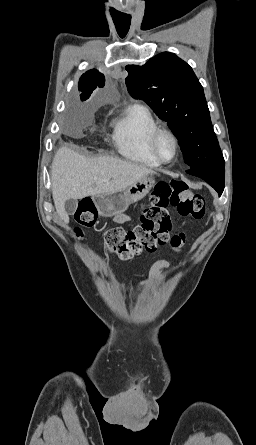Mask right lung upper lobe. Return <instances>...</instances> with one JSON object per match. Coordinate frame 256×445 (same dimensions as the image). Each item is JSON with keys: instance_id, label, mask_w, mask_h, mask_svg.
I'll return each mask as SVG.
<instances>
[{"instance_id": "obj_1", "label": "right lung upper lobe", "mask_w": 256, "mask_h": 445, "mask_svg": "<svg viewBox=\"0 0 256 445\" xmlns=\"http://www.w3.org/2000/svg\"><path fill=\"white\" fill-rule=\"evenodd\" d=\"M105 85V77L99 71L92 69L83 74L79 81V91L81 100L85 101L97 87L102 88Z\"/></svg>"}]
</instances>
